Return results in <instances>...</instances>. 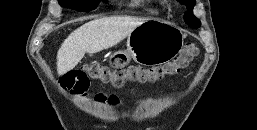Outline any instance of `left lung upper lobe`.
Instances as JSON below:
<instances>
[{
	"label": "left lung upper lobe",
	"instance_id": "left-lung-upper-lobe-1",
	"mask_svg": "<svg viewBox=\"0 0 257 130\" xmlns=\"http://www.w3.org/2000/svg\"><path fill=\"white\" fill-rule=\"evenodd\" d=\"M188 11L184 15L185 22L193 28H198L200 26V21L192 14L193 7L195 6V0H180Z\"/></svg>",
	"mask_w": 257,
	"mask_h": 130
}]
</instances>
